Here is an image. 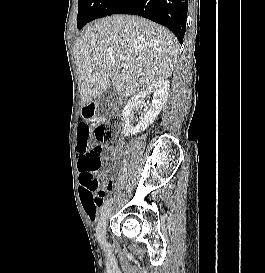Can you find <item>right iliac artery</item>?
Returning <instances> with one entry per match:
<instances>
[{
  "label": "right iliac artery",
  "mask_w": 265,
  "mask_h": 273,
  "mask_svg": "<svg viewBox=\"0 0 265 273\" xmlns=\"http://www.w3.org/2000/svg\"><path fill=\"white\" fill-rule=\"evenodd\" d=\"M114 199L111 198L110 200H107L103 206L101 207V210L103 211L104 209H107V207H109L112 203H113Z\"/></svg>",
  "instance_id": "obj_1"
}]
</instances>
